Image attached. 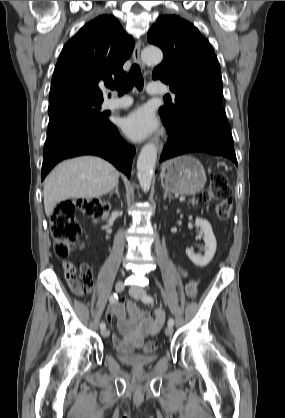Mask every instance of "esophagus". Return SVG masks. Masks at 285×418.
Wrapping results in <instances>:
<instances>
[{
    "label": "esophagus",
    "instance_id": "34e87169",
    "mask_svg": "<svg viewBox=\"0 0 285 418\" xmlns=\"http://www.w3.org/2000/svg\"><path fill=\"white\" fill-rule=\"evenodd\" d=\"M140 51H141V41L138 40L135 44L132 57H133L134 62L137 63L142 69H144L145 66L141 60ZM153 142L156 144L158 151L160 153L163 149L162 142L160 141L158 137H153Z\"/></svg>",
    "mask_w": 285,
    "mask_h": 418
}]
</instances>
